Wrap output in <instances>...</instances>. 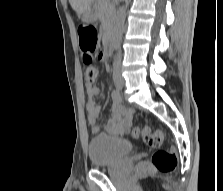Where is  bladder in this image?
Segmentation results:
<instances>
[{
    "label": "bladder",
    "mask_w": 223,
    "mask_h": 191,
    "mask_svg": "<svg viewBox=\"0 0 223 191\" xmlns=\"http://www.w3.org/2000/svg\"><path fill=\"white\" fill-rule=\"evenodd\" d=\"M132 151L131 142L122 137L99 136L90 140L88 155L93 166L117 164Z\"/></svg>",
    "instance_id": "bladder-1"
}]
</instances>
